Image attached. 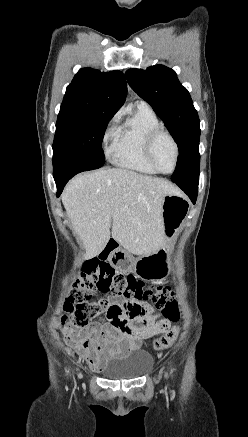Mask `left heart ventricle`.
Listing matches in <instances>:
<instances>
[{
	"instance_id": "1",
	"label": "left heart ventricle",
	"mask_w": 248,
	"mask_h": 437,
	"mask_svg": "<svg viewBox=\"0 0 248 437\" xmlns=\"http://www.w3.org/2000/svg\"><path fill=\"white\" fill-rule=\"evenodd\" d=\"M154 158L158 167L164 171L172 170L175 159V152L172 142L166 136H161L154 147Z\"/></svg>"
}]
</instances>
